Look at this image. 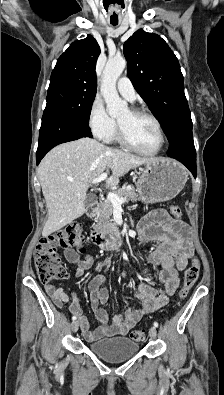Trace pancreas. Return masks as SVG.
I'll use <instances>...</instances> for the list:
<instances>
[{
	"instance_id": "pancreas-1",
	"label": "pancreas",
	"mask_w": 224,
	"mask_h": 395,
	"mask_svg": "<svg viewBox=\"0 0 224 395\" xmlns=\"http://www.w3.org/2000/svg\"><path fill=\"white\" fill-rule=\"evenodd\" d=\"M118 195L120 198H125L126 201L135 202L140 199L139 195L136 193L135 188L131 186L130 188L122 187L113 192ZM113 215V205L109 199H105L100 202L97 206V216L94 225V229L96 230H105L107 228L116 229L115 223L112 222Z\"/></svg>"
}]
</instances>
